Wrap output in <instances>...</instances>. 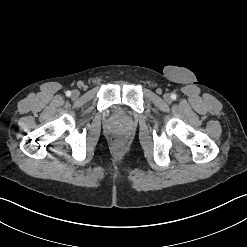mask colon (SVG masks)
Masks as SVG:
<instances>
[{
  "label": "colon",
  "mask_w": 247,
  "mask_h": 247,
  "mask_svg": "<svg viewBox=\"0 0 247 247\" xmlns=\"http://www.w3.org/2000/svg\"><path fill=\"white\" fill-rule=\"evenodd\" d=\"M113 142L116 143V144H120L123 142V138H120V137H114L113 138Z\"/></svg>",
  "instance_id": "obj_1"
}]
</instances>
